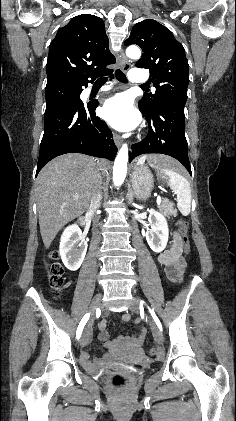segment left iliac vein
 <instances>
[{
	"instance_id": "4c4485c4",
	"label": "left iliac vein",
	"mask_w": 236,
	"mask_h": 421,
	"mask_svg": "<svg viewBox=\"0 0 236 421\" xmlns=\"http://www.w3.org/2000/svg\"><path fill=\"white\" fill-rule=\"evenodd\" d=\"M130 310L134 313H138L139 312V300L134 297L131 300V305H130ZM150 328L154 337V340L156 343H161L163 340V336L162 333L158 327V325L156 324V322L150 317Z\"/></svg>"
}]
</instances>
